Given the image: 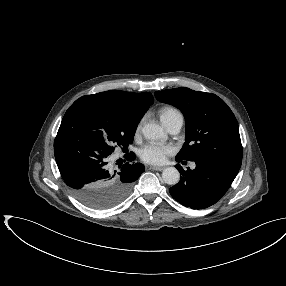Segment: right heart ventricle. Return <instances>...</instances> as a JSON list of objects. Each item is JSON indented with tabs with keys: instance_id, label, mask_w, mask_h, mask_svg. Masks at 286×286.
<instances>
[{
	"instance_id": "1",
	"label": "right heart ventricle",
	"mask_w": 286,
	"mask_h": 286,
	"mask_svg": "<svg viewBox=\"0 0 286 286\" xmlns=\"http://www.w3.org/2000/svg\"><path fill=\"white\" fill-rule=\"evenodd\" d=\"M177 114L181 113L173 107H164L160 110V118L164 125Z\"/></svg>"
}]
</instances>
